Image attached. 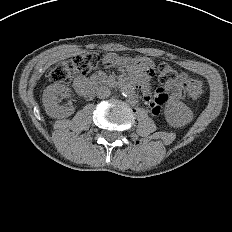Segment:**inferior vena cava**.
<instances>
[{
	"mask_svg": "<svg viewBox=\"0 0 232 232\" xmlns=\"http://www.w3.org/2000/svg\"><path fill=\"white\" fill-rule=\"evenodd\" d=\"M111 94V91L108 87L100 86L96 89V95L98 98L104 99L109 97Z\"/></svg>",
	"mask_w": 232,
	"mask_h": 232,
	"instance_id": "inferior-vena-cava-1",
	"label": "inferior vena cava"
}]
</instances>
